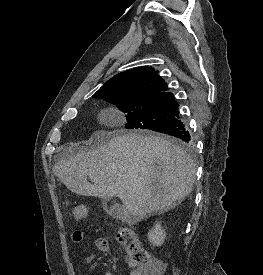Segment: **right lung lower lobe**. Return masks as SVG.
Instances as JSON below:
<instances>
[{"label":"right lung lower lobe","mask_w":263,"mask_h":275,"mask_svg":"<svg viewBox=\"0 0 263 275\" xmlns=\"http://www.w3.org/2000/svg\"><path fill=\"white\" fill-rule=\"evenodd\" d=\"M155 131L176 137L187 143H189L191 140L190 134L188 131H186V128L184 127L183 122L180 118L166 126L157 128Z\"/></svg>","instance_id":"98d812e1"}]
</instances>
